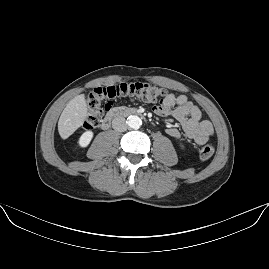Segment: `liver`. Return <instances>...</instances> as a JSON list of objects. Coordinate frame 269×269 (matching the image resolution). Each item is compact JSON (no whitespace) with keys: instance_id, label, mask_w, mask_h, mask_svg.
Instances as JSON below:
<instances>
[{"instance_id":"6515ba94","label":"liver","mask_w":269,"mask_h":269,"mask_svg":"<svg viewBox=\"0 0 269 269\" xmlns=\"http://www.w3.org/2000/svg\"><path fill=\"white\" fill-rule=\"evenodd\" d=\"M87 117V104L84 94L74 97L63 112L58 121V131L62 139H67L85 121Z\"/></svg>"}]
</instances>
